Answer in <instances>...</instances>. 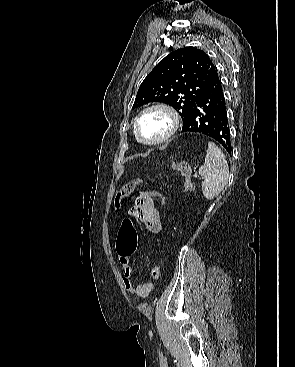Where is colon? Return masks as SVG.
Listing matches in <instances>:
<instances>
[{"instance_id": "obj_1", "label": "colon", "mask_w": 295, "mask_h": 367, "mask_svg": "<svg viewBox=\"0 0 295 367\" xmlns=\"http://www.w3.org/2000/svg\"><path fill=\"white\" fill-rule=\"evenodd\" d=\"M172 169L184 178L183 191L185 193H192L194 191V183L192 181L191 167L187 162H176L172 164ZM142 182L141 179H135L127 182L116 194V206L120 207L122 204L129 201L131 196L135 193L138 185ZM152 189H139L137 194L139 196H152L154 195ZM157 205L164 206L168 197L161 195L157 198ZM119 244L122 251H130L136 246V233L133 228V224L130 219H125L119 233Z\"/></svg>"}]
</instances>
